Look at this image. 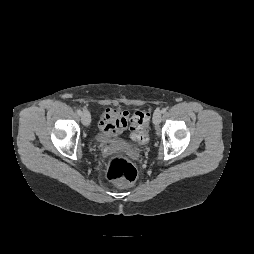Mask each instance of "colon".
<instances>
[{
	"label": "colon",
	"instance_id": "5ec220e1",
	"mask_svg": "<svg viewBox=\"0 0 254 254\" xmlns=\"http://www.w3.org/2000/svg\"><path fill=\"white\" fill-rule=\"evenodd\" d=\"M149 116V111L138 110L131 117V137L137 143L143 144L148 140ZM137 175V168L129 160L120 156L108 159L106 164L108 180L128 186L135 182Z\"/></svg>",
	"mask_w": 254,
	"mask_h": 254
}]
</instances>
